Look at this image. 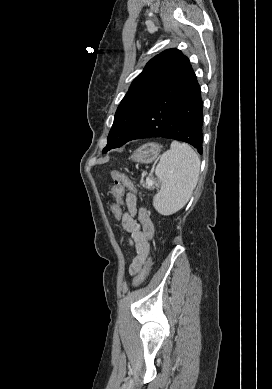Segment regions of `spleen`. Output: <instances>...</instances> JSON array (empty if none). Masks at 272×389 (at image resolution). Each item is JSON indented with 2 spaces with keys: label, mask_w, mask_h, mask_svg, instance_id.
Here are the masks:
<instances>
[{
  "label": "spleen",
  "mask_w": 272,
  "mask_h": 389,
  "mask_svg": "<svg viewBox=\"0 0 272 389\" xmlns=\"http://www.w3.org/2000/svg\"><path fill=\"white\" fill-rule=\"evenodd\" d=\"M200 171V160L187 144L172 142L155 169L161 183L153 198V206L162 215L179 211L189 200Z\"/></svg>",
  "instance_id": "3e777b00"
}]
</instances>
